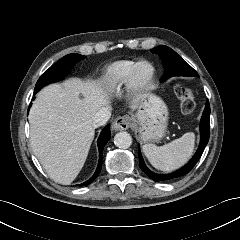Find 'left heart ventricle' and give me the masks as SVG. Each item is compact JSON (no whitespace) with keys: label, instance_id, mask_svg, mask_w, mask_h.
<instances>
[{"label":"left heart ventricle","instance_id":"left-heart-ventricle-1","mask_svg":"<svg viewBox=\"0 0 240 240\" xmlns=\"http://www.w3.org/2000/svg\"><path fill=\"white\" fill-rule=\"evenodd\" d=\"M148 67L147 66H142L139 70V75L140 77H145L148 74Z\"/></svg>","mask_w":240,"mask_h":240}]
</instances>
